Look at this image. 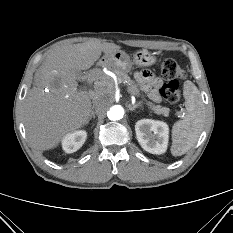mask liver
<instances>
[{"instance_id":"1","label":"liver","mask_w":233,"mask_h":233,"mask_svg":"<svg viewBox=\"0 0 233 233\" xmlns=\"http://www.w3.org/2000/svg\"><path fill=\"white\" fill-rule=\"evenodd\" d=\"M120 49L114 43L90 41L58 46L46 56L35 74L36 87L23 106L26 134L33 148L52 149L89 122L91 97L77 88L76 72L92 67L102 52L110 55Z\"/></svg>"}]
</instances>
